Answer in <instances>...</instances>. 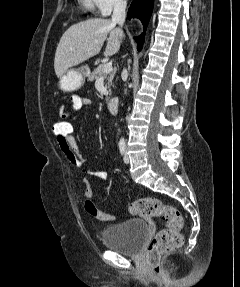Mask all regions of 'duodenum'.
Instances as JSON below:
<instances>
[{"label":"duodenum","mask_w":240,"mask_h":287,"mask_svg":"<svg viewBox=\"0 0 240 287\" xmlns=\"http://www.w3.org/2000/svg\"><path fill=\"white\" fill-rule=\"evenodd\" d=\"M107 107L111 113H116L119 107V99L117 97H112L107 102Z\"/></svg>","instance_id":"1"}]
</instances>
